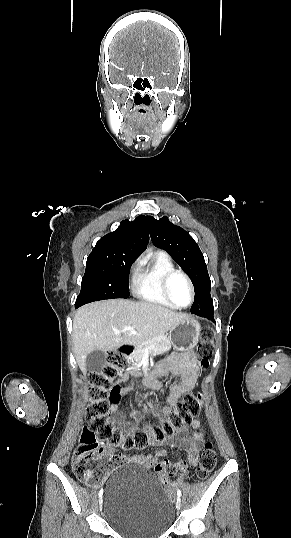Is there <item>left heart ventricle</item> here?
<instances>
[{
  "label": "left heart ventricle",
  "instance_id": "1",
  "mask_svg": "<svg viewBox=\"0 0 291 538\" xmlns=\"http://www.w3.org/2000/svg\"><path fill=\"white\" fill-rule=\"evenodd\" d=\"M170 293L173 301L179 306H186L190 301V290L185 279L177 275L170 283Z\"/></svg>",
  "mask_w": 291,
  "mask_h": 538
}]
</instances>
